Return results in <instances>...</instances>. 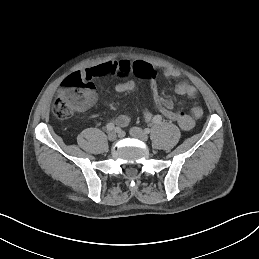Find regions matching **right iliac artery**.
<instances>
[{
    "label": "right iliac artery",
    "mask_w": 259,
    "mask_h": 259,
    "mask_svg": "<svg viewBox=\"0 0 259 259\" xmlns=\"http://www.w3.org/2000/svg\"><path fill=\"white\" fill-rule=\"evenodd\" d=\"M106 128H107L108 131H113L115 129V126H114L113 123H108Z\"/></svg>",
    "instance_id": "1"
}]
</instances>
